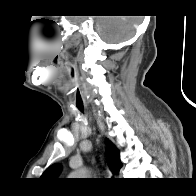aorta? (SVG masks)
Wrapping results in <instances>:
<instances>
[{"mask_svg": "<svg viewBox=\"0 0 196 196\" xmlns=\"http://www.w3.org/2000/svg\"><path fill=\"white\" fill-rule=\"evenodd\" d=\"M73 176H76L78 178V176H82V172H75L73 173Z\"/></svg>", "mask_w": 196, "mask_h": 196, "instance_id": "1", "label": "aorta"}]
</instances>
